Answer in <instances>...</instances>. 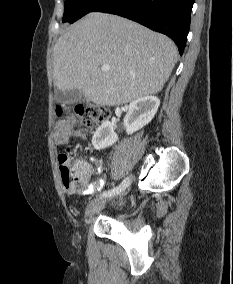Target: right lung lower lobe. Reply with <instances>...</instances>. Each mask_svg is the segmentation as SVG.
Returning <instances> with one entry per match:
<instances>
[{"label":"right lung lower lobe","instance_id":"98d812e1","mask_svg":"<svg viewBox=\"0 0 233 284\" xmlns=\"http://www.w3.org/2000/svg\"><path fill=\"white\" fill-rule=\"evenodd\" d=\"M194 0H108L94 12L126 17L169 36L182 55Z\"/></svg>","mask_w":233,"mask_h":284}]
</instances>
